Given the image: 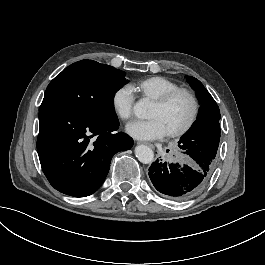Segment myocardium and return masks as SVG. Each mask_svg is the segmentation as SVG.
<instances>
[{
	"label": "myocardium",
	"mask_w": 265,
	"mask_h": 265,
	"mask_svg": "<svg viewBox=\"0 0 265 265\" xmlns=\"http://www.w3.org/2000/svg\"><path fill=\"white\" fill-rule=\"evenodd\" d=\"M179 96H184L190 101L191 113H190V117H189L187 123L183 127H181L178 130L170 131L167 133V136L171 137V138L183 136L192 129V127L196 123L198 115H199V111H200L199 101H198L196 95L193 92H191L190 90L184 89V88H178L176 90H173V91L167 93L166 95L160 97L158 100L153 102V104L157 108L163 109L171 101H173L175 98H177Z\"/></svg>",
	"instance_id": "obj_1"
}]
</instances>
